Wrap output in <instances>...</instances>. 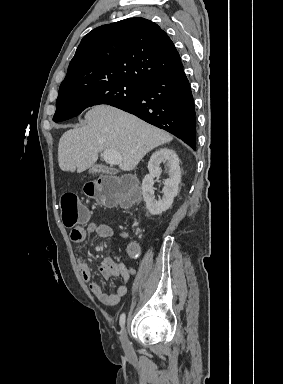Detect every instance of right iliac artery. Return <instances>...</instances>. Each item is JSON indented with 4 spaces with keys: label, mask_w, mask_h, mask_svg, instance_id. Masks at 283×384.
I'll use <instances>...</instances> for the list:
<instances>
[{
    "label": "right iliac artery",
    "mask_w": 283,
    "mask_h": 384,
    "mask_svg": "<svg viewBox=\"0 0 283 384\" xmlns=\"http://www.w3.org/2000/svg\"><path fill=\"white\" fill-rule=\"evenodd\" d=\"M125 318H126L125 313H122L121 316H120V321H119V324H120L122 329L125 326Z\"/></svg>",
    "instance_id": "right-iliac-artery-1"
}]
</instances>
